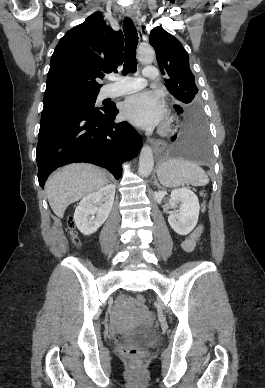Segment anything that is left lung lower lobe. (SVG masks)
Masks as SVG:
<instances>
[{
    "mask_svg": "<svg viewBox=\"0 0 265 388\" xmlns=\"http://www.w3.org/2000/svg\"><path fill=\"white\" fill-rule=\"evenodd\" d=\"M180 120V134L171 138L175 141L167 150L171 157H181L202 164L210 162V139L205 117L201 109L184 110L174 105Z\"/></svg>",
    "mask_w": 265,
    "mask_h": 388,
    "instance_id": "0a47b994",
    "label": "left lung lower lobe"
}]
</instances>
